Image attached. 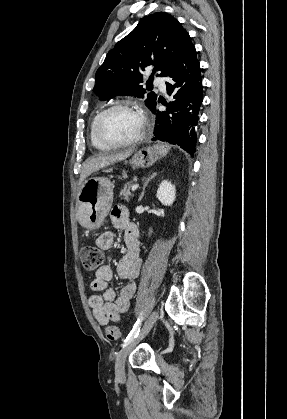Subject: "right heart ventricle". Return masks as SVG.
I'll return each instance as SVG.
<instances>
[{
    "instance_id": "obj_1",
    "label": "right heart ventricle",
    "mask_w": 287,
    "mask_h": 419,
    "mask_svg": "<svg viewBox=\"0 0 287 419\" xmlns=\"http://www.w3.org/2000/svg\"><path fill=\"white\" fill-rule=\"evenodd\" d=\"M101 113V111L97 112L94 117L92 118V121L90 123V128H89V139L91 142V145L98 149V150H102V151H106L109 150L111 147L105 146L103 145L96 137L95 134V124H96V120L99 116V114Z\"/></svg>"
}]
</instances>
